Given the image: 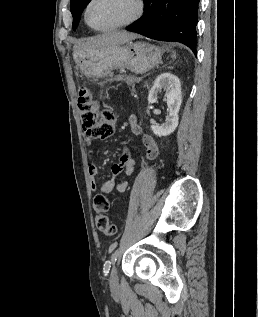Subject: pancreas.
Instances as JSON below:
<instances>
[{
  "label": "pancreas",
  "instance_id": "pancreas-1",
  "mask_svg": "<svg viewBox=\"0 0 258 317\" xmlns=\"http://www.w3.org/2000/svg\"><path fill=\"white\" fill-rule=\"evenodd\" d=\"M139 80H141V76H127V80H125L124 77H119L117 81L119 84H124L125 81L129 82L130 86L134 88L135 86L134 82H139Z\"/></svg>",
  "mask_w": 258,
  "mask_h": 317
}]
</instances>
